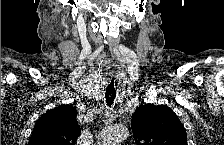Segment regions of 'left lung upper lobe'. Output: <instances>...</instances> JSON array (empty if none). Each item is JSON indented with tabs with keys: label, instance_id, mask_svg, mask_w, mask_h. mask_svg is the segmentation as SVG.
Wrapping results in <instances>:
<instances>
[{
	"label": "left lung upper lobe",
	"instance_id": "obj_1",
	"mask_svg": "<svg viewBox=\"0 0 224 145\" xmlns=\"http://www.w3.org/2000/svg\"><path fill=\"white\" fill-rule=\"evenodd\" d=\"M131 127L137 145H187L183 124L165 105H140Z\"/></svg>",
	"mask_w": 224,
	"mask_h": 145
}]
</instances>
